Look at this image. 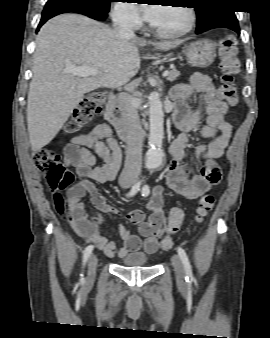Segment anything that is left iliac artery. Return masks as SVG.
Instances as JSON below:
<instances>
[{
	"instance_id": "44dca946",
	"label": "left iliac artery",
	"mask_w": 270,
	"mask_h": 338,
	"mask_svg": "<svg viewBox=\"0 0 270 338\" xmlns=\"http://www.w3.org/2000/svg\"><path fill=\"white\" fill-rule=\"evenodd\" d=\"M142 196L144 197H147L150 193V187L148 184H144V186L142 187ZM177 252H178V255L184 265V268H185V272H186V281H192L193 280V273H192V267H191V264H190V261L188 259V256L185 252V250L182 248V247H178L177 248Z\"/></svg>"
}]
</instances>
